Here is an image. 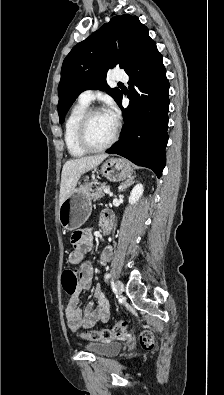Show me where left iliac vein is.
Segmentation results:
<instances>
[{
  "label": "left iliac vein",
  "mask_w": 224,
  "mask_h": 395,
  "mask_svg": "<svg viewBox=\"0 0 224 395\" xmlns=\"http://www.w3.org/2000/svg\"><path fill=\"white\" fill-rule=\"evenodd\" d=\"M115 288H116V291H117L118 295H121L123 293V291H124V285H123V283L120 280H117L115 282Z\"/></svg>",
  "instance_id": "obj_1"
}]
</instances>
